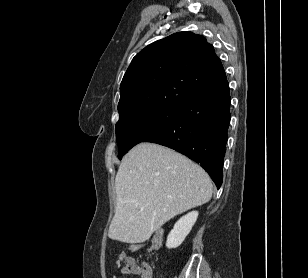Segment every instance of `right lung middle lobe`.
Masks as SVG:
<instances>
[{
    "instance_id": "1",
    "label": "right lung middle lobe",
    "mask_w": 308,
    "mask_h": 278,
    "mask_svg": "<svg viewBox=\"0 0 308 278\" xmlns=\"http://www.w3.org/2000/svg\"><path fill=\"white\" fill-rule=\"evenodd\" d=\"M177 114L178 108H152L119 120L116 124L118 158L122 159L133 146L166 126Z\"/></svg>"
}]
</instances>
